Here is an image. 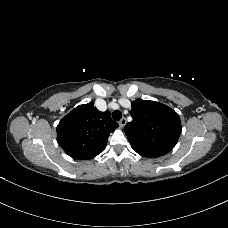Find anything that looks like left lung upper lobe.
<instances>
[{"mask_svg":"<svg viewBox=\"0 0 228 228\" xmlns=\"http://www.w3.org/2000/svg\"><path fill=\"white\" fill-rule=\"evenodd\" d=\"M131 116L133 121L124 132L138 154L162 156L174 148L182 127L173 109L156 101L137 99L132 102Z\"/></svg>","mask_w":228,"mask_h":228,"instance_id":"5c2ea615","label":"left lung upper lobe"}]
</instances>
